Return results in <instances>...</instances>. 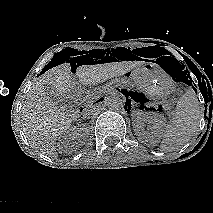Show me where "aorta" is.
Segmentation results:
<instances>
[{
	"instance_id": "1",
	"label": "aorta",
	"mask_w": 213,
	"mask_h": 213,
	"mask_svg": "<svg viewBox=\"0 0 213 213\" xmlns=\"http://www.w3.org/2000/svg\"><path fill=\"white\" fill-rule=\"evenodd\" d=\"M106 105L111 110H119L123 107V100L120 95L113 93L105 100Z\"/></svg>"
}]
</instances>
